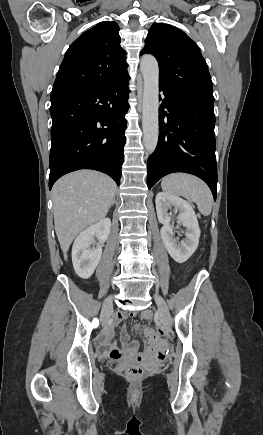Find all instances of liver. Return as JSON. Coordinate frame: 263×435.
Returning a JSON list of instances; mask_svg holds the SVG:
<instances>
[{"label":"liver","mask_w":263,"mask_h":435,"mask_svg":"<svg viewBox=\"0 0 263 435\" xmlns=\"http://www.w3.org/2000/svg\"><path fill=\"white\" fill-rule=\"evenodd\" d=\"M115 192L116 184L110 177L92 170L67 174L54 184L55 232L65 260L75 237L107 215Z\"/></svg>","instance_id":"6515ba94"}]
</instances>
